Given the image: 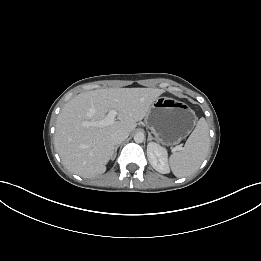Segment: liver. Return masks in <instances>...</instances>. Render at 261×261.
Segmentation results:
<instances>
[{"label": "liver", "instance_id": "6515ba94", "mask_svg": "<svg viewBox=\"0 0 261 261\" xmlns=\"http://www.w3.org/2000/svg\"><path fill=\"white\" fill-rule=\"evenodd\" d=\"M162 93L156 88H106L72 98L56 122L55 148L64 166L84 178L103 174L114 154L111 135L132 132ZM110 110L117 111L118 121L103 127L85 125L101 121Z\"/></svg>", "mask_w": 261, "mask_h": 261}]
</instances>
